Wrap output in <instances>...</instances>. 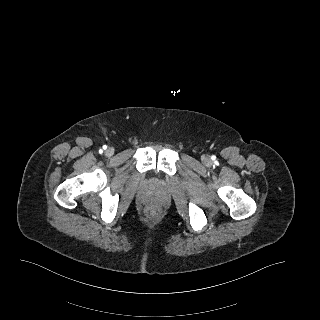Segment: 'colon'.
Here are the masks:
<instances>
[{
  "label": "colon",
  "instance_id": "colon-1",
  "mask_svg": "<svg viewBox=\"0 0 320 320\" xmlns=\"http://www.w3.org/2000/svg\"><path fill=\"white\" fill-rule=\"evenodd\" d=\"M147 214L150 216V217H155L157 215V210L154 209V208H150L147 210Z\"/></svg>",
  "mask_w": 320,
  "mask_h": 320
}]
</instances>
